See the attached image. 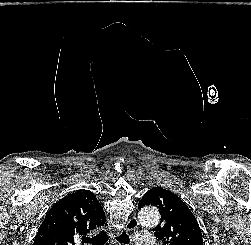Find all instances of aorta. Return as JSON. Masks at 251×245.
<instances>
[{"label":"aorta","mask_w":251,"mask_h":245,"mask_svg":"<svg viewBox=\"0 0 251 245\" xmlns=\"http://www.w3.org/2000/svg\"><path fill=\"white\" fill-rule=\"evenodd\" d=\"M139 218L142 225L146 227H153L159 223V213L157 209L153 207H146L141 209Z\"/></svg>","instance_id":"762f6f07"}]
</instances>
